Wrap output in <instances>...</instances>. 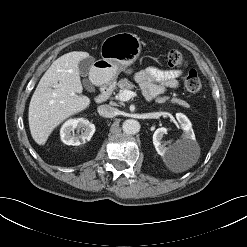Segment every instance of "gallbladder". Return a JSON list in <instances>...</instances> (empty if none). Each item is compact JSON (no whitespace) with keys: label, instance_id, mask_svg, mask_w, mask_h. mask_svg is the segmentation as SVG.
<instances>
[{"label":"gallbladder","instance_id":"1","mask_svg":"<svg viewBox=\"0 0 247 247\" xmlns=\"http://www.w3.org/2000/svg\"><path fill=\"white\" fill-rule=\"evenodd\" d=\"M93 64H94V58L91 56L86 57L83 60H81L78 65L80 75L84 77L87 76L89 72L91 71ZM84 86L88 91H91V92L94 91V87L90 81L85 80Z\"/></svg>","mask_w":247,"mask_h":247}]
</instances>
